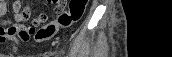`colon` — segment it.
<instances>
[{
  "label": "colon",
  "mask_w": 172,
  "mask_h": 57,
  "mask_svg": "<svg viewBox=\"0 0 172 57\" xmlns=\"http://www.w3.org/2000/svg\"><path fill=\"white\" fill-rule=\"evenodd\" d=\"M57 5H62L65 1L53 0ZM88 0H70L68 8L62 11L54 22L45 25L39 37L42 39L52 38L60 28H68L74 23L78 22L86 8ZM29 9L25 8L23 14H27Z\"/></svg>",
  "instance_id": "5ec220e1"
}]
</instances>
